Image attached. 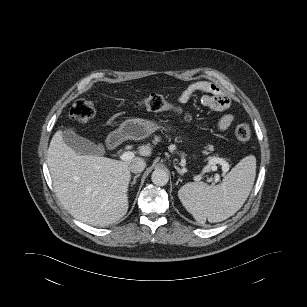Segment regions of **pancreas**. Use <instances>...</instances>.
<instances>
[{
  "mask_svg": "<svg viewBox=\"0 0 307 307\" xmlns=\"http://www.w3.org/2000/svg\"><path fill=\"white\" fill-rule=\"evenodd\" d=\"M160 141V138L159 137H155V143L156 142H159ZM217 157H215V156H209L208 158H207V160L209 161V162H211L213 159H216ZM224 160V159H223ZM225 161V160H224Z\"/></svg>",
  "mask_w": 307,
  "mask_h": 307,
  "instance_id": "1",
  "label": "pancreas"
}]
</instances>
